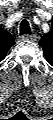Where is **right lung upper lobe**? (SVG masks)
<instances>
[{
	"instance_id": "1",
	"label": "right lung upper lobe",
	"mask_w": 53,
	"mask_h": 120,
	"mask_svg": "<svg viewBox=\"0 0 53 120\" xmlns=\"http://www.w3.org/2000/svg\"><path fill=\"white\" fill-rule=\"evenodd\" d=\"M15 44L12 35L2 28L0 29V61L4 59L8 50Z\"/></svg>"
}]
</instances>
